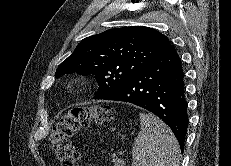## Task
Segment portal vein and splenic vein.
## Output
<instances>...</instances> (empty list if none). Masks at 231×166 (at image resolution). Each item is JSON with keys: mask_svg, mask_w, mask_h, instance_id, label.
<instances>
[{"mask_svg": "<svg viewBox=\"0 0 231 166\" xmlns=\"http://www.w3.org/2000/svg\"><path fill=\"white\" fill-rule=\"evenodd\" d=\"M115 160H116L118 166H124L125 165L124 161L121 158H116Z\"/></svg>", "mask_w": 231, "mask_h": 166, "instance_id": "portal-vein-and-splenic-vein-1", "label": "portal vein and splenic vein"}]
</instances>
